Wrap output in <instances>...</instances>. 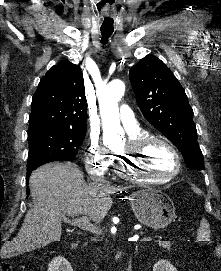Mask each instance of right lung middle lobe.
I'll use <instances>...</instances> for the list:
<instances>
[{
  "label": "right lung middle lobe",
  "mask_w": 221,
  "mask_h": 271,
  "mask_svg": "<svg viewBox=\"0 0 221 271\" xmlns=\"http://www.w3.org/2000/svg\"><path fill=\"white\" fill-rule=\"evenodd\" d=\"M86 131L55 128L28 130L29 155L27 171L57 160L73 161L82 144Z\"/></svg>",
  "instance_id": "dd1d6c3e"
}]
</instances>
